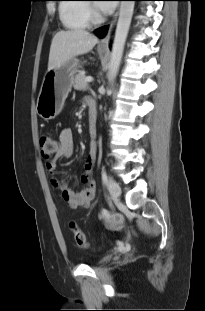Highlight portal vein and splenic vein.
<instances>
[{
	"instance_id": "18ae733b",
	"label": "portal vein and splenic vein",
	"mask_w": 205,
	"mask_h": 311,
	"mask_svg": "<svg viewBox=\"0 0 205 311\" xmlns=\"http://www.w3.org/2000/svg\"><path fill=\"white\" fill-rule=\"evenodd\" d=\"M86 82H92L93 81V78L91 76H88L86 77L85 79Z\"/></svg>"
}]
</instances>
